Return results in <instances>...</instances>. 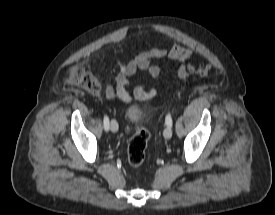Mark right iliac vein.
Instances as JSON below:
<instances>
[{
    "mask_svg": "<svg viewBox=\"0 0 275 215\" xmlns=\"http://www.w3.org/2000/svg\"><path fill=\"white\" fill-rule=\"evenodd\" d=\"M110 129L112 132H117L118 131V123L116 120L112 119L110 122Z\"/></svg>",
    "mask_w": 275,
    "mask_h": 215,
    "instance_id": "right-iliac-vein-1",
    "label": "right iliac vein"
}]
</instances>
